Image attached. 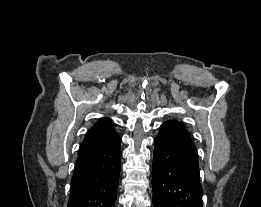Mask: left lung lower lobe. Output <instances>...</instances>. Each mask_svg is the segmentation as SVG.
<instances>
[{
  "mask_svg": "<svg viewBox=\"0 0 261 207\" xmlns=\"http://www.w3.org/2000/svg\"><path fill=\"white\" fill-rule=\"evenodd\" d=\"M154 146L153 207H203L198 152L180 124L164 122Z\"/></svg>",
  "mask_w": 261,
  "mask_h": 207,
  "instance_id": "1",
  "label": "left lung lower lobe"
}]
</instances>
